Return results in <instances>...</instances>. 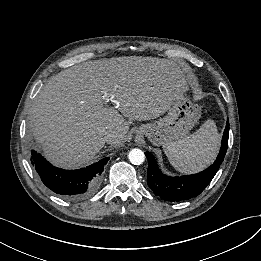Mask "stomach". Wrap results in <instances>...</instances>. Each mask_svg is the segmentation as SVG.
Returning a JSON list of instances; mask_svg holds the SVG:
<instances>
[{"label":"stomach","mask_w":261,"mask_h":261,"mask_svg":"<svg viewBox=\"0 0 261 261\" xmlns=\"http://www.w3.org/2000/svg\"><path fill=\"white\" fill-rule=\"evenodd\" d=\"M200 116L201 107L184 93L173 102L166 116L142 125L136 133L146 136L156 146L165 145L186 137Z\"/></svg>","instance_id":"0dacf381"}]
</instances>
